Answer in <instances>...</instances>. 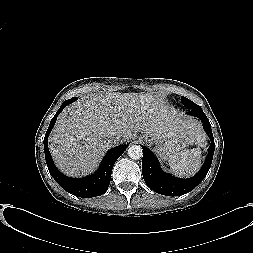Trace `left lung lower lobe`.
I'll return each instance as SVG.
<instances>
[{
	"mask_svg": "<svg viewBox=\"0 0 253 253\" xmlns=\"http://www.w3.org/2000/svg\"><path fill=\"white\" fill-rule=\"evenodd\" d=\"M188 109V115L198 117L202 121L203 128L211 140L205 163L194 177L189 179L177 178L164 173L159 166L157 158L151 150L141 145L143 148V178L147 186L156 193L167 196H179L186 194L193 190L205 178L210 169L215 149L210 122L199 105L192 106Z\"/></svg>",
	"mask_w": 253,
	"mask_h": 253,
	"instance_id": "left-lung-lower-lobe-1",
	"label": "left lung lower lobe"
}]
</instances>
